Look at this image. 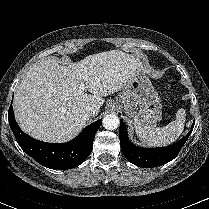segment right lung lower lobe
<instances>
[{
  "label": "right lung lower lobe",
  "instance_id": "1",
  "mask_svg": "<svg viewBox=\"0 0 209 209\" xmlns=\"http://www.w3.org/2000/svg\"><path fill=\"white\" fill-rule=\"evenodd\" d=\"M8 118L22 150L39 164L51 169H69L83 163L92 151L95 134L101 125V120H97L70 142L53 144L38 141L24 133L14 118L12 106L9 108Z\"/></svg>",
  "mask_w": 209,
  "mask_h": 209
}]
</instances>
